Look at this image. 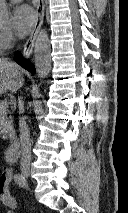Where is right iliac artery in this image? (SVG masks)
<instances>
[{"mask_svg": "<svg viewBox=\"0 0 128 213\" xmlns=\"http://www.w3.org/2000/svg\"><path fill=\"white\" fill-rule=\"evenodd\" d=\"M14 179L19 186L23 188L27 187L26 179L21 174H15Z\"/></svg>", "mask_w": 128, "mask_h": 213, "instance_id": "1", "label": "right iliac artery"}]
</instances>
